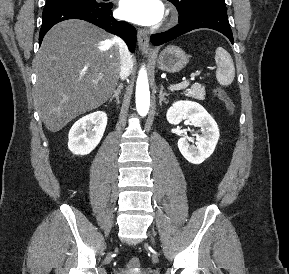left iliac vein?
I'll return each mask as SVG.
<instances>
[{"label": "left iliac vein", "instance_id": "4c4485c4", "mask_svg": "<svg viewBox=\"0 0 289 274\" xmlns=\"http://www.w3.org/2000/svg\"><path fill=\"white\" fill-rule=\"evenodd\" d=\"M151 241H152V243H154V239L151 237Z\"/></svg>", "mask_w": 289, "mask_h": 274}]
</instances>
